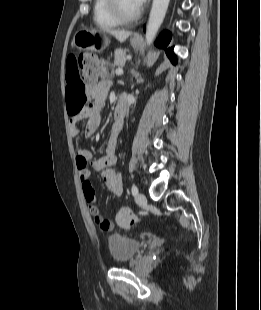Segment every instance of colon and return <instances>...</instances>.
Instances as JSON below:
<instances>
[{"instance_id":"1","label":"colon","mask_w":261,"mask_h":310,"mask_svg":"<svg viewBox=\"0 0 261 310\" xmlns=\"http://www.w3.org/2000/svg\"><path fill=\"white\" fill-rule=\"evenodd\" d=\"M77 64L82 69L83 83L94 84L110 72L109 65L104 60L92 54L81 55L77 59ZM116 220L119 226L127 229L135 227L139 222L138 217L127 208L119 210ZM101 228L104 230L107 229L108 223H103Z\"/></svg>"}]
</instances>
